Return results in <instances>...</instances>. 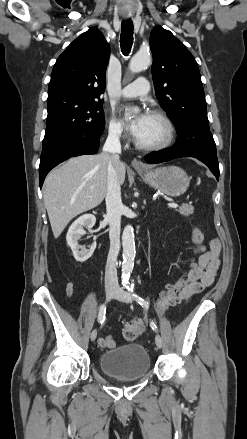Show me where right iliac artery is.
I'll return each mask as SVG.
<instances>
[{
    "instance_id": "obj_1",
    "label": "right iliac artery",
    "mask_w": 247,
    "mask_h": 439,
    "mask_svg": "<svg viewBox=\"0 0 247 439\" xmlns=\"http://www.w3.org/2000/svg\"><path fill=\"white\" fill-rule=\"evenodd\" d=\"M105 314H106V306L103 304L100 306L99 309V315H98V322L102 323L105 320Z\"/></svg>"
}]
</instances>
